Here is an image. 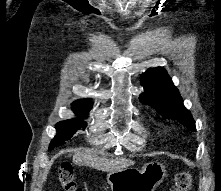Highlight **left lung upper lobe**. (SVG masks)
<instances>
[{
    "instance_id": "left-lung-upper-lobe-1",
    "label": "left lung upper lobe",
    "mask_w": 221,
    "mask_h": 191,
    "mask_svg": "<svg viewBox=\"0 0 221 191\" xmlns=\"http://www.w3.org/2000/svg\"><path fill=\"white\" fill-rule=\"evenodd\" d=\"M141 84L144 93L139 99L142 103L152 106L167 118L176 119L190 130H196L190 112L184 107L178 89L164 68L148 69L141 75Z\"/></svg>"
}]
</instances>
